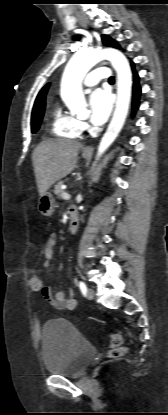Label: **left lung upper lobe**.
Listing matches in <instances>:
<instances>
[{"label":"left lung upper lobe","mask_w":168,"mask_h":415,"mask_svg":"<svg viewBox=\"0 0 168 415\" xmlns=\"http://www.w3.org/2000/svg\"><path fill=\"white\" fill-rule=\"evenodd\" d=\"M102 41L106 46L120 48L119 44L112 38H110L108 35H102Z\"/></svg>","instance_id":"1"}]
</instances>
